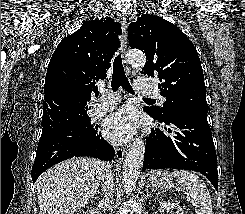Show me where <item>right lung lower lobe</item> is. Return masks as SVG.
<instances>
[{
	"label": "right lung lower lobe",
	"instance_id": "obj_1",
	"mask_svg": "<svg viewBox=\"0 0 245 214\" xmlns=\"http://www.w3.org/2000/svg\"><path fill=\"white\" fill-rule=\"evenodd\" d=\"M63 125L42 130L31 172L33 182L51 166L72 157L90 156L105 161L114 158L113 147L91 124L84 131L63 130Z\"/></svg>",
	"mask_w": 245,
	"mask_h": 214
}]
</instances>
